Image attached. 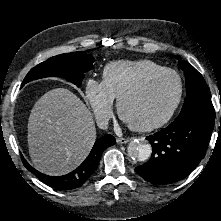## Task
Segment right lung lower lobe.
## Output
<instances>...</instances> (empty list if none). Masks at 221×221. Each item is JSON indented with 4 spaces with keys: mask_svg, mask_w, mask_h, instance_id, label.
Masks as SVG:
<instances>
[{
    "mask_svg": "<svg viewBox=\"0 0 221 221\" xmlns=\"http://www.w3.org/2000/svg\"><path fill=\"white\" fill-rule=\"evenodd\" d=\"M114 144L115 138L110 134L99 138L83 163L74 171L63 176H49L40 173L30 166L24 158L22 159L24 166L48 186L57 190H71L82 186L93 175L103 151Z\"/></svg>",
    "mask_w": 221,
    "mask_h": 221,
    "instance_id": "right-lung-lower-lobe-1",
    "label": "right lung lower lobe"
}]
</instances>
